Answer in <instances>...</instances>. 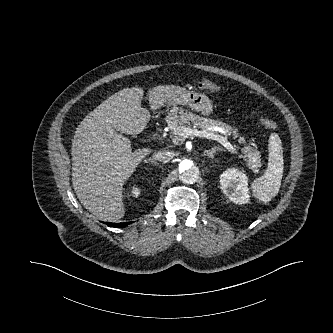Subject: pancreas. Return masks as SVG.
<instances>
[{"label": "pancreas", "mask_w": 333, "mask_h": 333, "mask_svg": "<svg viewBox=\"0 0 333 333\" xmlns=\"http://www.w3.org/2000/svg\"><path fill=\"white\" fill-rule=\"evenodd\" d=\"M180 115L177 114V109L174 108L171 110L169 116H167L166 121L171 130V138L173 141L179 142L184 139L181 135L185 129H190L191 124L198 129L203 131L208 130L210 127H220L227 135H233L234 138L239 137V132L237 129L231 127L230 125L215 121L212 119L202 118L193 113H184L180 112ZM238 141L241 144H245L246 141L243 137H239ZM245 157L247 158V166L253 171L258 172L261 167L260 161V152L256 149L251 148L250 146H244L242 148Z\"/></svg>", "instance_id": "pancreas-1"}]
</instances>
